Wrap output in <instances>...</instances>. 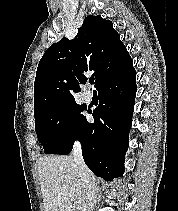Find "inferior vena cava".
<instances>
[{"label": "inferior vena cava", "mask_w": 178, "mask_h": 211, "mask_svg": "<svg viewBox=\"0 0 178 211\" xmlns=\"http://www.w3.org/2000/svg\"><path fill=\"white\" fill-rule=\"evenodd\" d=\"M72 155L74 163L80 172V176L85 188V198L82 205V211H93L94 203L96 200L95 179L84 162V159L82 157L81 145L79 142H76L74 144Z\"/></svg>", "instance_id": "obj_1"}]
</instances>
